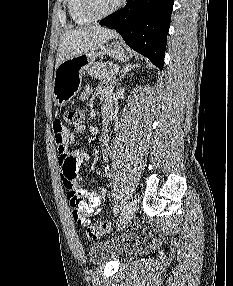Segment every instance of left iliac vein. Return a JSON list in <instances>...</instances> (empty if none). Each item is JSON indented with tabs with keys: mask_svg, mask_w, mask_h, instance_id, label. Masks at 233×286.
I'll use <instances>...</instances> for the list:
<instances>
[{
	"mask_svg": "<svg viewBox=\"0 0 233 286\" xmlns=\"http://www.w3.org/2000/svg\"><path fill=\"white\" fill-rule=\"evenodd\" d=\"M136 211V201L130 200L123 208V212L120 216V228H125L130 223L134 213Z\"/></svg>",
	"mask_w": 233,
	"mask_h": 286,
	"instance_id": "4c4485c4",
	"label": "left iliac vein"
}]
</instances>
